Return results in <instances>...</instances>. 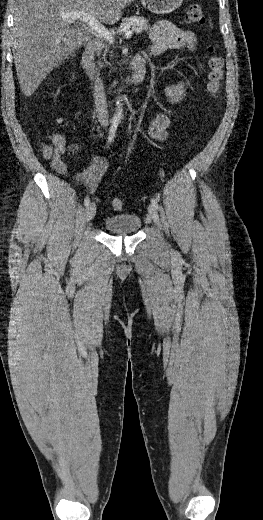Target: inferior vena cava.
I'll return each instance as SVG.
<instances>
[{"label": "inferior vena cava", "mask_w": 263, "mask_h": 520, "mask_svg": "<svg viewBox=\"0 0 263 520\" xmlns=\"http://www.w3.org/2000/svg\"><path fill=\"white\" fill-rule=\"evenodd\" d=\"M94 101L96 107V114L99 119L101 126L108 125V110H107V102L106 96L104 92V85L102 80L97 77L95 80L94 87Z\"/></svg>", "instance_id": "obj_1"}]
</instances>
